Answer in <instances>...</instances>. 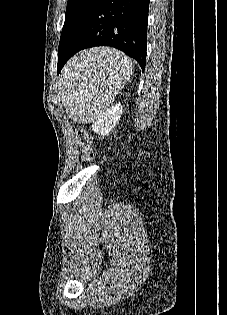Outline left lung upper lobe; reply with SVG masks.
<instances>
[{
  "mask_svg": "<svg viewBox=\"0 0 227 315\" xmlns=\"http://www.w3.org/2000/svg\"><path fill=\"white\" fill-rule=\"evenodd\" d=\"M98 1L68 0L58 52L66 45L77 26L87 17Z\"/></svg>",
  "mask_w": 227,
  "mask_h": 315,
  "instance_id": "5c2ea615",
  "label": "left lung upper lobe"
}]
</instances>
